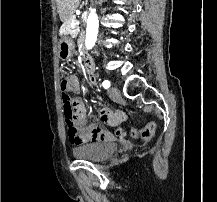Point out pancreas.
Returning a JSON list of instances; mask_svg holds the SVG:
<instances>
[{
    "mask_svg": "<svg viewBox=\"0 0 217 202\" xmlns=\"http://www.w3.org/2000/svg\"><path fill=\"white\" fill-rule=\"evenodd\" d=\"M71 20H74V17H71ZM61 27H62L61 28L62 33L71 34V36H74V38H76L77 34H79V32H80V28H76V30H72L71 22H65V23H63V25Z\"/></svg>",
    "mask_w": 217,
    "mask_h": 202,
    "instance_id": "pancreas-1",
    "label": "pancreas"
}]
</instances>
